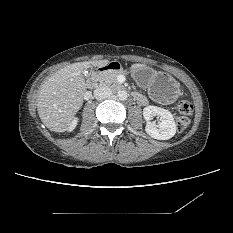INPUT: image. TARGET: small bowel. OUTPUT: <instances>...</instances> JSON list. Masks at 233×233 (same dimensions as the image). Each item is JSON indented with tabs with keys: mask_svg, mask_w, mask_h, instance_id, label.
Listing matches in <instances>:
<instances>
[{
	"mask_svg": "<svg viewBox=\"0 0 233 233\" xmlns=\"http://www.w3.org/2000/svg\"><path fill=\"white\" fill-rule=\"evenodd\" d=\"M137 101L140 105H145L147 103L146 98L141 94H138Z\"/></svg>",
	"mask_w": 233,
	"mask_h": 233,
	"instance_id": "obj_1",
	"label": "small bowel"
}]
</instances>
